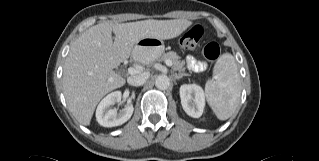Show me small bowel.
<instances>
[{
  "label": "small bowel",
  "mask_w": 319,
  "mask_h": 161,
  "mask_svg": "<svg viewBox=\"0 0 319 161\" xmlns=\"http://www.w3.org/2000/svg\"><path fill=\"white\" fill-rule=\"evenodd\" d=\"M186 63L188 67L193 70H200L204 66V63L202 61H200L199 59L195 58L192 55L187 56Z\"/></svg>",
  "instance_id": "obj_1"
}]
</instances>
